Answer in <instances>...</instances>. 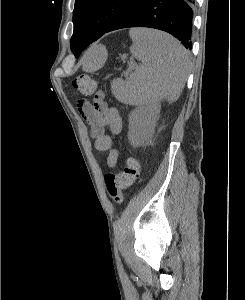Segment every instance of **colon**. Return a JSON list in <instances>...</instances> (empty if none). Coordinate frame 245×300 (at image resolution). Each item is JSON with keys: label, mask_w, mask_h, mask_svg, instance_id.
<instances>
[{"label": "colon", "mask_w": 245, "mask_h": 300, "mask_svg": "<svg viewBox=\"0 0 245 300\" xmlns=\"http://www.w3.org/2000/svg\"><path fill=\"white\" fill-rule=\"evenodd\" d=\"M73 87L80 94L90 96L95 92L96 81L87 74H81L73 81ZM139 171L138 160L131 156L127 158L122 172L105 176L106 191L116 203L123 201V191L137 180Z\"/></svg>", "instance_id": "colon-1"}]
</instances>
